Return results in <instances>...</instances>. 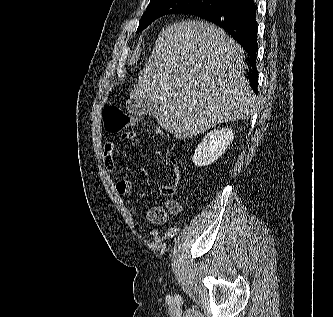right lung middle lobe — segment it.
Segmentation results:
<instances>
[{
    "label": "right lung middle lobe",
    "instance_id": "right-lung-middle-lobe-1",
    "mask_svg": "<svg viewBox=\"0 0 333 317\" xmlns=\"http://www.w3.org/2000/svg\"><path fill=\"white\" fill-rule=\"evenodd\" d=\"M229 3L227 0H151L140 19L137 32L142 31L157 18L168 14L195 15Z\"/></svg>",
    "mask_w": 333,
    "mask_h": 317
}]
</instances>
